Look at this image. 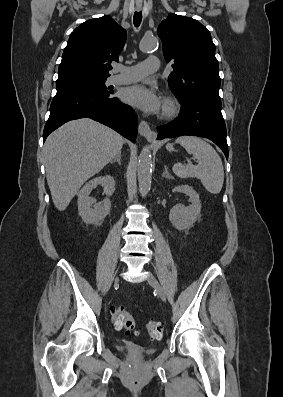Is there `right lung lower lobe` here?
Here are the masks:
<instances>
[{
    "label": "right lung lower lobe",
    "mask_w": 283,
    "mask_h": 397,
    "mask_svg": "<svg viewBox=\"0 0 283 397\" xmlns=\"http://www.w3.org/2000/svg\"><path fill=\"white\" fill-rule=\"evenodd\" d=\"M84 117L109 126L132 142L136 140L137 116L130 106L113 97L112 92L73 89L57 93L54 97L43 141L67 121Z\"/></svg>",
    "instance_id": "obj_1"
}]
</instances>
